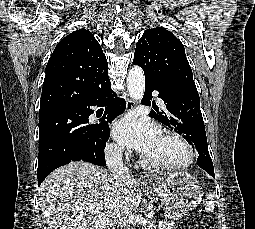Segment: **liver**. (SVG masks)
<instances>
[{
  "instance_id": "liver-1",
  "label": "liver",
  "mask_w": 255,
  "mask_h": 229,
  "mask_svg": "<svg viewBox=\"0 0 255 229\" xmlns=\"http://www.w3.org/2000/svg\"><path fill=\"white\" fill-rule=\"evenodd\" d=\"M141 199L134 178L116 180L106 169L83 161L56 169L38 190L48 229H111Z\"/></svg>"
}]
</instances>
